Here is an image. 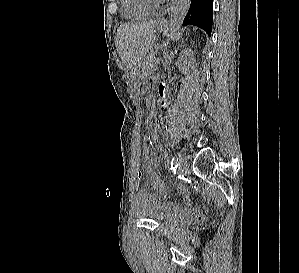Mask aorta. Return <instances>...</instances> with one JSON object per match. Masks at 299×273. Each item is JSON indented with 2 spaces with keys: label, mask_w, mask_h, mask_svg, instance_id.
I'll return each mask as SVG.
<instances>
[{
  "label": "aorta",
  "mask_w": 299,
  "mask_h": 273,
  "mask_svg": "<svg viewBox=\"0 0 299 273\" xmlns=\"http://www.w3.org/2000/svg\"><path fill=\"white\" fill-rule=\"evenodd\" d=\"M191 0H174L170 8L171 34L175 35L190 8Z\"/></svg>",
  "instance_id": "aorta-1"
}]
</instances>
